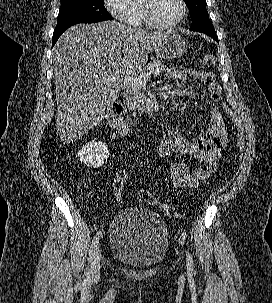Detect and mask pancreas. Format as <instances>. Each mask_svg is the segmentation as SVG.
Returning a JSON list of instances; mask_svg holds the SVG:
<instances>
[{
	"instance_id": "1",
	"label": "pancreas",
	"mask_w": 272,
	"mask_h": 303,
	"mask_svg": "<svg viewBox=\"0 0 272 303\" xmlns=\"http://www.w3.org/2000/svg\"><path fill=\"white\" fill-rule=\"evenodd\" d=\"M165 65L160 60H154L149 63L147 66L143 68L141 72H139L138 76L145 75L146 73L154 74L155 76L160 75L165 70ZM144 93L141 89L140 85L131 86L126 85V91L124 93V98L128 103L136 104L140 99L144 98Z\"/></svg>"
}]
</instances>
